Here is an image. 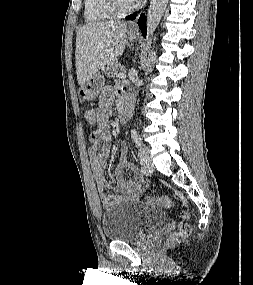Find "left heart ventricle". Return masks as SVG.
Returning <instances> with one entry per match:
<instances>
[{"instance_id": "1", "label": "left heart ventricle", "mask_w": 253, "mask_h": 285, "mask_svg": "<svg viewBox=\"0 0 253 285\" xmlns=\"http://www.w3.org/2000/svg\"><path fill=\"white\" fill-rule=\"evenodd\" d=\"M135 1L134 0H121V3L124 5V6H130L134 3Z\"/></svg>"}]
</instances>
